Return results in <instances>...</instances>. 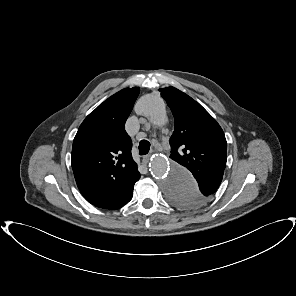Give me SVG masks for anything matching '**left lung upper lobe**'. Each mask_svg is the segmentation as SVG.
<instances>
[{
	"mask_svg": "<svg viewBox=\"0 0 296 296\" xmlns=\"http://www.w3.org/2000/svg\"><path fill=\"white\" fill-rule=\"evenodd\" d=\"M170 107L175 129L170 138V158L186 167L198 182L199 190L172 191L173 204L197 207L208 201L220 185L227 160V142L216 120L182 91L159 90Z\"/></svg>",
	"mask_w": 296,
	"mask_h": 296,
	"instance_id": "obj_1",
	"label": "left lung upper lobe"
}]
</instances>
